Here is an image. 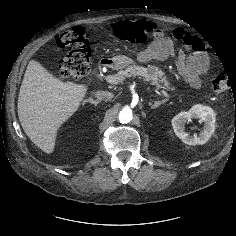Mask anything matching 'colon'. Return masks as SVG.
Instances as JSON below:
<instances>
[{
	"instance_id": "colon-1",
	"label": "colon",
	"mask_w": 236,
	"mask_h": 236,
	"mask_svg": "<svg viewBox=\"0 0 236 236\" xmlns=\"http://www.w3.org/2000/svg\"><path fill=\"white\" fill-rule=\"evenodd\" d=\"M157 29L151 21H122L115 25L114 36L131 44H142L147 41ZM57 44L68 50L60 63V77L77 81L85 77L90 69L91 51L88 44V32L83 27H74L62 32L57 38ZM233 83L223 75H216L211 82L214 93L220 94L232 88Z\"/></svg>"
}]
</instances>
